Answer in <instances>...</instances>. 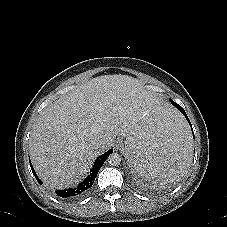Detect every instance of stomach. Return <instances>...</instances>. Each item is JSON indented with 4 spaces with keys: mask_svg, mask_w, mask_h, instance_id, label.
<instances>
[{
    "mask_svg": "<svg viewBox=\"0 0 227 227\" xmlns=\"http://www.w3.org/2000/svg\"><path fill=\"white\" fill-rule=\"evenodd\" d=\"M149 114H151V112L145 113V114L141 117V119H140L139 121L143 120V119H144L147 115H149Z\"/></svg>",
    "mask_w": 227,
    "mask_h": 227,
    "instance_id": "obj_1",
    "label": "stomach"
}]
</instances>
